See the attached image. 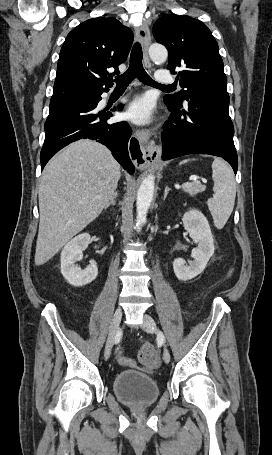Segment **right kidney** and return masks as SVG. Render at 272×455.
<instances>
[{"mask_svg":"<svg viewBox=\"0 0 272 455\" xmlns=\"http://www.w3.org/2000/svg\"><path fill=\"white\" fill-rule=\"evenodd\" d=\"M90 235L83 233L69 241L61 252V273L63 277L73 286H84L89 284L98 275V267L94 260L82 270L75 263L83 258V251L90 243Z\"/></svg>","mask_w":272,"mask_h":455,"instance_id":"obj_1","label":"right kidney"}]
</instances>
